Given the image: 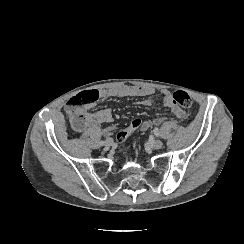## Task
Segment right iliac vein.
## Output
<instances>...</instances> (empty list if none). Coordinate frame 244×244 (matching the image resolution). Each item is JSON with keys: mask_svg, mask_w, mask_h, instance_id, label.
<instances>
[{"mask_svg": "<svg viewBox=\"0 0 244 244\" xmlns=\"http://www.w3.org/2000/svg\"><path fill=\"white\" fill-rule=\"evenodd\" d=\"M112 145H113V140L111 138L106 139V141H105V147L106 148H109Z\"/></svg>", "mask_w": 244, "mask_h": 244, "instance_id": "obj_1", "label": "right iliac vein"}]
</instances>
